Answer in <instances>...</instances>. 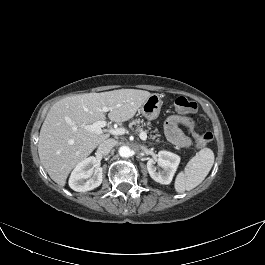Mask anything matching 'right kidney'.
Listing matches in <instances>:
<instances>
[{
	"mask_svg": "<svg viewBox=\"0 0 265 265\" xmlns=\"http://www.w3.org/2000/svg\"><path fill=\"white\" fill-rule=\"evenodd\" d=\"M96 163L95 157L79 162L70 175V188L77 192H86L100 186L103 180V169L95 166Z\"/></svg>",
	"mask_w": 265,
	"mask_h": 265,
	"instance_id": "ca27d5eb",
	"label": "right kidney"
}]
</instances>
